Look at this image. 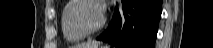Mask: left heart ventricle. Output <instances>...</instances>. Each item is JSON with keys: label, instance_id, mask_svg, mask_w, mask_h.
Here are the masks:
<instances>
[{"label": "left heart ventricle", "instance_id": "b2bd125f", "mask_svg": "<svg viewBox=\"0 0 213 48\" xmlns=\"http://www.w3.org/2000/svg\"><path fill=\"white\" fill-rule=\"evenodd\" d=\"M76 17L85 28L93 29L101 20V9L95 3H83L77 9Z\"/></svg>", "mask_w": 213, "mask_h": 48}]
</instances>
